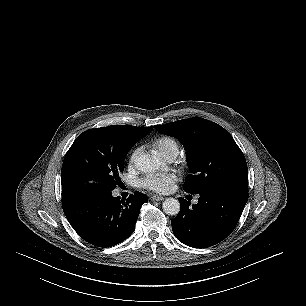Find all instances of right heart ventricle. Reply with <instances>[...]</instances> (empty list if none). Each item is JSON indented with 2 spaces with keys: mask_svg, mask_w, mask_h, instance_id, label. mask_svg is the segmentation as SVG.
Masks as SVG:
<instances>
[{
  "mask_svg": "<svg viewBox=\"0 0 306 306\" xmlns=\"http://www.w3.org/2000/svg\"><path fill=\"white\" fill-rule=\"evenodd\" d=\"M152 146L159 154H161L166 159L173 155L177 156L179 152L178 142L174 138L169 136H161L156 138L153 141Z\"/></svg>",
  "mask_w": 306,
  "mask_h": 306,
  "instance_id": "obj_1",
  "label": "right heart ventricle"
}]
</instances>
